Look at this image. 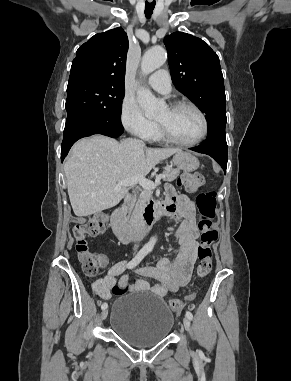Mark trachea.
Masks as SVG:
<instances>
[{
  "label": "trachea",
  "mask_w": 291,
  "mask_h": 381,
  "mask_svg": "<svg viewBox=\"0 0 291 381\" xmlns=\"http://www.w3.org/2000/svg\"><path fill=\"white\" fill-rule=\"evenodd\" d=\"M154 8H155V2H152V3L146 2V4H145V16H146V18L149 19L151 17Z\"/></svg>",
  "instance_id": "trachea-1"
}]
</instances>
